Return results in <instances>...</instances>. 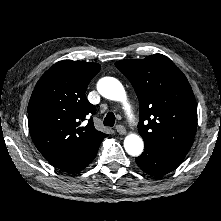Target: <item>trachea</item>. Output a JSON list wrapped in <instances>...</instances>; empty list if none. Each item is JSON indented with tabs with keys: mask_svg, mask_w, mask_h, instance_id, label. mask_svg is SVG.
<instances>
[{
	"mask_svg": "<svg viewBox=\"0 0 221 221\" xmlns=\"http://www.w3.org/2000/svg\"><path fill=\"white\" fill-rule=\"evenodd\" d=\"M115 124V115L112 112H108L104 119V126L113 127Z\"/></svg>",
	"mask_w": 221,
	"mask_h": 221,
	"instance_id": "trachea-1",
	"label": "trachea"
}]
</instances>
